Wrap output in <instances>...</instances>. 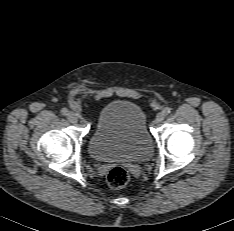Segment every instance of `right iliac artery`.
<instances>
[{"mask_svg": "<svg viewBox=\"0 0 234 231\" xmlns=\"http://www.w3.org/2000/svg\"><path fill=\"white\" fill-rule=\"evenodd\" d=\"M68 113H69V111L66 108L61 109V114L62 115L66 116V115H68Z\"/></svg>", "mask_w": 234, "mask_h": 231, "instance_id": "1", "label": "right iliac artery"}]
</instances>
